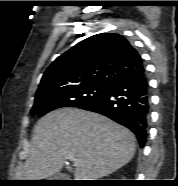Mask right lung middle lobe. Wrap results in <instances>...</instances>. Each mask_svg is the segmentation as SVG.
I'll use <instances>...</instances> for the list:
<instances>
[{
  "instance_id": "right-lung-middle-lobe-1",
  "label": "right lung middle lobe",
  "mask_w": 178,
  "mask_h": 186,
  "mask_svg": "<svg viewBox=\"0 0 178 186\" xmlns=\"http://www.w3.org/2000/svg\"><path fill=\"white\" fill-rule=\"evenodd\" d=\"M108 87L109 84L90 83L37 92L31 113L43 116L61 107L82 106L100 96Z\"/></svg>"
}]
</instances>
